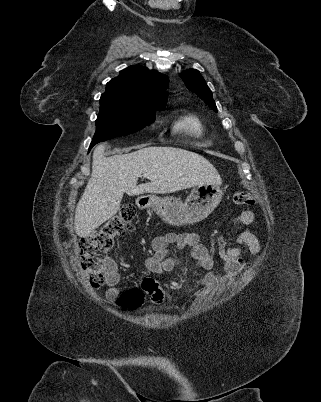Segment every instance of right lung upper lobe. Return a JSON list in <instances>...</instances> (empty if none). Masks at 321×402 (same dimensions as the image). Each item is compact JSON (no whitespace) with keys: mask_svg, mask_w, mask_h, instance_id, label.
Returning <instances> with one entry per match:
<instances>
[{"mask_svg":"<svg viewBox=\"0 0 321 402\" xmlns=\"http://www.w3.org/2000/svg\"><path fill=\"white\" fill-rule=\"evenodd\" d=\"M168 78L138 65L122 70L106 84L101 99L120 100L143 106H164Z\"/></svg>","mask_w":321,"mask_h":402,"instance_id":"1","label":"right lung upper lobe"}]
</instances>
